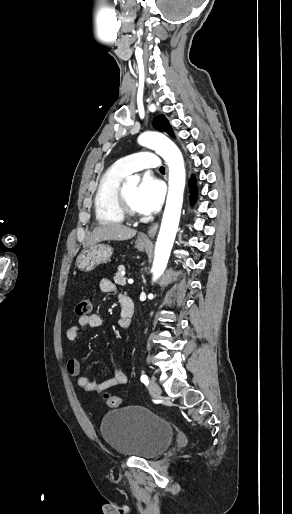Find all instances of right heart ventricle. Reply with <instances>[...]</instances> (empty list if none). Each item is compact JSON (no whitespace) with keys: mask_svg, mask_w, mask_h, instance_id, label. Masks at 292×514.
<instances>
[{"mask_svg":"<svg viewBox=\"0 0 292 514\" xmlns=\"http://www.w3.org/2000/svg\"><path fill=\"white\" fill-rule=\"evenodd\" d=\"M125 177L113 169L101 176L93 198L94 216L99 224H118L124 221L114 207L113 196Z\"/></svg>","mask_w":292,"mask_h":514,"instance_id":"right-heart-ventricle-1","label":"right heart ventricle"}]
</instances>
